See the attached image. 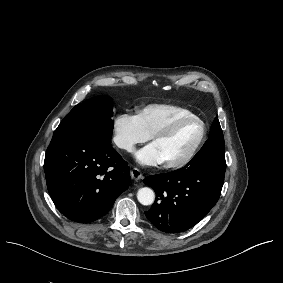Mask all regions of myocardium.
<instances>
[{
  "label": "myocardium",
  "instance_id": "myocardium-1",
  "mask_svg": "<svg viewBox=\"0 0 283 283\" xmlns=\"http://www.w3.org/2000/svg\"><path fill=\"white\" fill-rule=\"evenodd\" d=\"M187 121H197V122L200 123L201 131H200L199 137H198L196 143L194 144V146L192 147V149L189 151V153L184 158H182L179 161H167V162H165V165L168 168L184 167L185 165L190 163L196 157V155L198 154L202 145L205 142V139H206V136H207V125H206L205 121L202 118H200L199 116H196L194 114L183 115V116L176 118L166 128L159 131L158 133H156L153 136V139H155V140L169 138L175 133L176 129L178 128V126L180 124L187 122Z\"/></svg>",
  "mask_w": 283,
  "mask_h": 283
}]
</instances>
